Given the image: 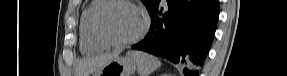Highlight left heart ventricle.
Wrapping results in <instances>:
<instances>
[{
	"label": "left heart ventricle",
	"mask_w": 287,
	"mask_h": 76,
	"mask_svg": "<svg viewBox=\"0 0 287 76\" xmlns=\"http://www.w3.org/2000/svg\"><path fill=\"white\" fill-rule=\"evenodd\" d=\"M143 26L142 15L126 4L111 6L101 19L104 33L115 40H125L134 37Z\"/></svg>",
	"instance_id": "b2bd125f"
}]
</instances>
